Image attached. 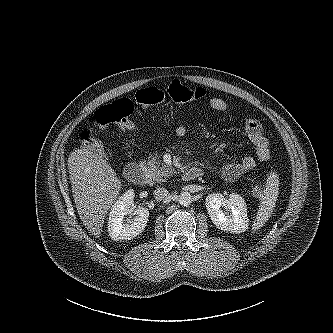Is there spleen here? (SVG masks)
I'll return each mask as SVG.
<instances>
[{"mask_svg": "<svg viewBox=\"0 0 333 333\" xmlns=\"http://www.w3.org/2000/svg\"><path fill=\"white\" fill-rule=\"evenodd\" d=\"M279 177L275 172H270L265 188L260 191V206L253 224V231L260 229L269 219L276 205L279 190Z\"/></svg>", "mask_w": 333, "mask_h": 333, "instance_id": "1", "label": "spleen"}]
</instances>
